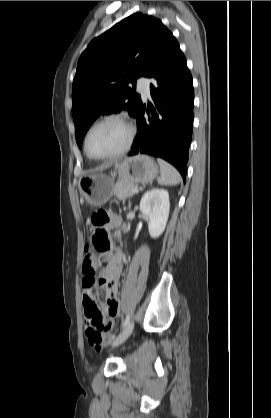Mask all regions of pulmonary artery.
I'll use <instances>...</instances> for the list:
<instances>
[{"instance_id":"e3ab8cb5","label":"pulmonary artery","mask_w":271,"mask_h":418,"mask_svg":"<svg viewBox=\"0 0 271 418\" xmlns=\"http://www.w3.org/2000/svg\"><path fill=\"white\" fill-rule=\"evenodd\" d=\"M138 90L144 98H148L150 96V80L148 78H141L138 81Z\"/></svg>"}]
</instances>
